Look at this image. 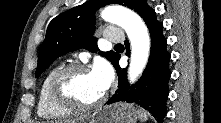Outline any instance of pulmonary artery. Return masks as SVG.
<instances>
[{
  "mask_svg": "<svg viewBox=\"0 0 221 123\" xmlns=\"http://www.w3.org/2000/svg\"><path fill=\"white\" fill-rule=\"evenodd\" d=\"M104 37L110 43H120L124 40L123 31L119 28H110L106 30Z\"/></svg>",
  "mask_w": 221,
  "mask_h": 123,
  "instance_id": "e3ab8cb5",
  "label": "pulmonary artery"
}]
</instances>
